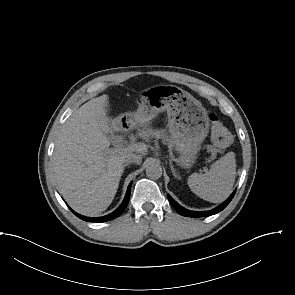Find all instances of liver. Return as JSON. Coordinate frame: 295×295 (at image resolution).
<instances>
[{"label": "liver", "instance_id": "6515ba94", "mask_svg": "<svg viewBox=\"0 0 295 295\" xmlns=\"http://www.w3.org/2000/svg\"><path fill=\"white\" fill-rule=\"evenodd\" d=\"M109 97L93 98L74 111L63 124L52 156L57 187L69 206L82 215L93 216L112 203L123 174L127 153L109 150V133L119 131L117 121L107 116ZM149 121H143L144 125ZM152 130L143 129L144 139ZM146 145L137 153L146 155Z\"/></svg>", "mask_w": 295, "mask_h": 295}]
</instances>
